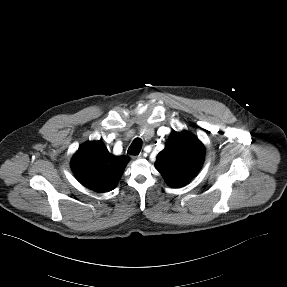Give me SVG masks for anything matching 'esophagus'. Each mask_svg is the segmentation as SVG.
I'll use <instances>...</instances> for the list:
<instances>
[{"label":"esophagus","mask_w":287,"mask_h":287,"mask_svg":"<svg viewBox=\"0 0 287 287\" xmlns=\"http://www.w3.org/2000/svg\"><path fill=\"white\" fill-rule=\"evenodd\" d=\"M143 157H144L143 154H139V155L135 156L134 158H136V159H142Z\"/></svg>","instance_id":"obj_1"}]
</instances>
